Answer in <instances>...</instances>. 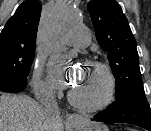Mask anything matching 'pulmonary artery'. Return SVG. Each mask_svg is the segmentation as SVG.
Returning a JSON list of instances; mask_svg holds the SVG:
<instances>
[{
  "instance_id": "obj_1",
  "label": "pulmonary artery",
  "mask_w": 151,
  "mask_h": 131,
  "mask_svg": "<svg viewBox=\"0 0 151 131\" xmlns=\"http://www.w3.org/2000/svg\"><path fill=\"white\" fill-rule=\"evenodd\" d=\"M70 44L76 47H86L91 42L90 32L83 27H78L70 34Z\"/></svg>"
}]
</instances>
